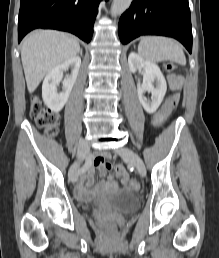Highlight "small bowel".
Returning <instances> with one entry per match:
<instances>
[{
	"instance_id": "c3829d8e",
	"label": "small bowel",
	"mask_w": 219,
	"mask_h": 258,
	"mask_svg": "<svg viewBox=\"0 0 219 258\" xmlns=\"http://www.w3.org/2000/svg\"><path fill=\"white\" fill-rule=\"evenodd\" d=\"M167 80L170 84V86L175 89L179 90L184 82V78L181 75L176 74H170L167 77ZM167 101H171L172 105H178L179 101H181V96H167ZM169 107V106H166ZM171 107V106H170ZM106 156L105 155H97L93 158V165L99 169V172L101 174H105L106 170L109 167H114V162H106ZM115 175L119 177V179H122V184H127V179H130V174L126 171L125 167H115L114 168ZM104 178H107V175H104ZM94 179V170H89L83 177H81L78 186H77V193L80 196L87 195V185L90 184Z\"/></svg>"
}]
</instances>
